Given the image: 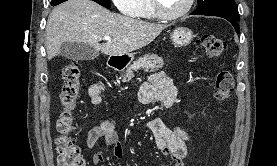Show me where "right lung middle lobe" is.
<instances>
[{"mask_svg":"<svg viewBox=\"0 0 277 166\" xmlns=\"http://www.w3.org/2000/svg\"><path fill=\"white\" fill-rule=\"evenodd\" d=\"M63 1H66V0H52L51 4L60 3ZM93 1L97 2L98 4L102 5L103 7H106L108 9L110 8V0H93Z\"/></svg>","mask_w":277,"mask_h":166,"instance_id":"dd1d6c3e","label":"right lung middle lobe"}]
</instances>
